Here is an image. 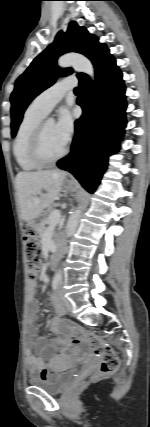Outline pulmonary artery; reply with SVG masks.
Instances as JSON below:
<instances>
[{
	"mask_svg": "<svg viewBox=\"0 0 150 427\" xmlns=\"http://www.w3.org/2000/svg\"><path fill=\"white\" fill-rule=\"evenodd\" d=\"M77 85L74 77L61 80L40 93L31 103V107L46 116L64 97L65 93Z\"/></svg>",
	"mask_w": 150,
	"mask_h": 427,
	"instance_id": "obj_1",
	"label": "pulmonary artery"
}]
</instances>
